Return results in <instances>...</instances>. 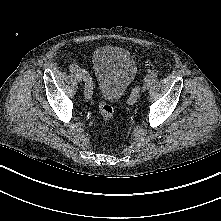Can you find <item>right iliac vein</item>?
<instances>
[{"mask_svg":"<svg viewBox=\"0 0 221 221\" xmlns=\"http://www.w3.org/2000/svg\"><path fill=\"white\" fill-rule=\"evenodd\" d=\"M75 78H76V80H77L78 82H81V81H82V75L79 74V73H76Z\"/></svg>","mask_w":221,"mask_h":221,"instance_id":"obj_1","label":"right iliac vein"}]
</instances>
